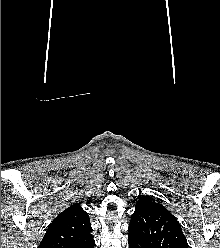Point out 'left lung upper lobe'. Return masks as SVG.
Returning a JSON list of instances; mask_svg holds the SVG:
<instances>
[{
    "instance_id": "obj_1",
    "label": "left lung upper lobe",
    "mask_w": 220,
    "mask_h": 248,
    "mask_svg": "<svg viewBox=\"0 0 220 248\" xmlns=\"http://www.w3.org/2000/svg\"><path fill=\"white\" fill-rule=\"evenodd\" d=\"M128 231L148 248H188L178 220L148 197L136 203Z\"/></svg>"
}]
</instances>
